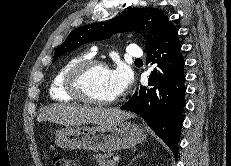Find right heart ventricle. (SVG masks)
<instances>
[{"instance_id":"e07e8e85","label":"right heart ventricle","mask_w":231,"mask_h":166,"mask_svg":"<svg viewBox=\"0 0 231 166\" xmlns=\"http://www.w3.org/2000/svg\"><path fill=\"white\" fill-rule=\"evenodd\" d=\"M93 58L92 52H84L74 55L68 59L57 71L52 79L49 94L50 97L59 102L71 101L74 97L65 88V79L69 70L76 64Z\"/></svg>"}]
</instances>
